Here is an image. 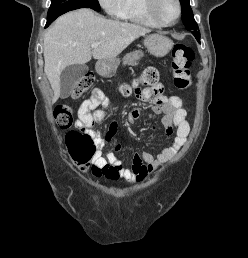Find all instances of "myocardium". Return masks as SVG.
<instances>
[{
  "label": "myocardium",
  "instance_id": "f54148a6",
  "mask_svg": "<svg viewBox=\"0 0 248 258\" xmlns=\"http://www.w3.org/2000/svg\"><path fill=\"white\" fill-rule=\"evenodd\" d=\"M176 3V7H177V14L176 17L174 18L173 21L171 22H166L161 20L156 12H155V2L156 0H145V10L146 13L148 15V17L157 25V26H161V27H168V26H172L175 23H177V21L179 20L180 16H181V12H182V8H181V3L180 0H174Z\"/></svg>",
  "mask_w": 248,
  "mask_h": 258
}]
</instances>
